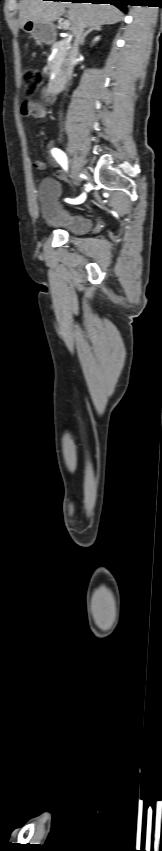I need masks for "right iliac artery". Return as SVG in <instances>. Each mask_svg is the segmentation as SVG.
<instances>
[{"instance_id": "1", "label": "right iliac artery", "mask_w": 162, "mask_h": 851, "mask_svg": "<svg viewBox=\"0 0 162 851\" xmlns=\"http://www.w3.org/2000/svg\"><path fill=\"white\" fill-rule=\"evenodd\" d=\"M51 152H52V155L54 156V158L63 167V169L67 171L68 166H67V157H66L65 153L58 148H53ZM84 200H85V194H82L80 197H78L76 199H66L67 202L72 203V204H80Z\"/></svg>"}]
</instances>
